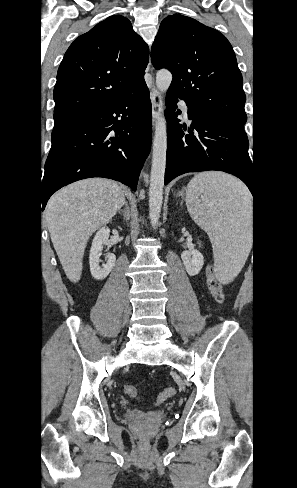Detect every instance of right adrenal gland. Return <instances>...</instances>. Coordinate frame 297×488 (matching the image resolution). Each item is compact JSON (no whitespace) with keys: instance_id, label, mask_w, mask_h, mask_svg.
I'll use <instances>...</instances> for the list:
<instances>
[{"instance_id":"right-adrenal-gland-1","label":"right adrenal gland","mask_w":297,"mask_h":488,"mask_svg":"<svg viewBox=\"0 0 297 488\" xmlns=\"http://www.w3.org/2000/svg\"><path fill=\"white\" fill-rule=\"evenodd\" d=\"M124 206L125 208L123 210H118L117 213L123 215L124 220L127 222L130 220V209L126 201H124Z\"/></svg>"}]
</instances>
